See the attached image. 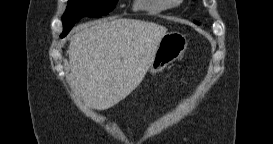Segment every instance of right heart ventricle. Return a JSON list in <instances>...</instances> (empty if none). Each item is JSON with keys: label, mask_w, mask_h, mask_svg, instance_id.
Instances as JSON below:
<instances>
[{"label": "right heart ventricle", "mask_w": 273, "mask_h": 144, "mask_svg": "<svg viewBox=\"0 0 273 144\" xmlns=\"http://www.w3.org/2000/svg\"><path fill=\"white\" fill-rule=\"evenodd\" d=\"M134 7L136 10L154 14L163 11L167 4L163 0H137Z\"/></svg>", "instance_id": "e07e8e85"}]
</instances>
